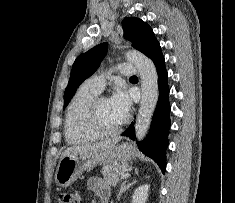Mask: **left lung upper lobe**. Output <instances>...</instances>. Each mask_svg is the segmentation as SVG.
Masks as SVG:
<instances>
[{"mask_svg": "<svg viewBox=\"0 0 235 203\" xmlns=\"http://www.w3.org/2000/svg\"><path fill=\"white\" fill-rule=\"evenodd\" d=\"M124 37L132 42V46L145 55L157 42L151 27L141 19L127 17L122 21ZM108 49L107 43H101L89 51L81 54L75 60L69 83L64 93V107L68 105L74 96L77 87L90 77L99 67Z\"/></svg>", "mask_w": 235, "mask_h": 203, "instance_id": "left-lung-upper-lobe-1", "label": "left lung upper lobe"}]
</instances>
